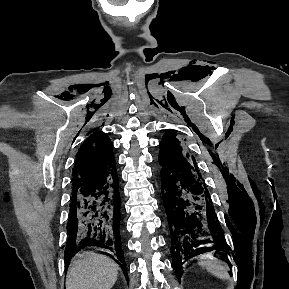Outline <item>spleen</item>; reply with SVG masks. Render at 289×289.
Instances as JSON below:
<instances>
[{"label": "spleen", "mask_w": 289, "mask_h": 289, "mask_svg": "<svg viewBox=\"0 0 289 289\" xmlns=\"http://www.w3.org/2000/svg\"><path fill=\"white\" fill-rule=\"evenodd\" d=\"M199 261V265L206 269L208 272L216 276L221 280H228L229 274L227 268L223 265V262L215 257L212 253L204 254Z\"/></svg>", "instance_id": "3e777b00"}]
</instances>
